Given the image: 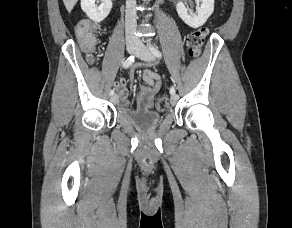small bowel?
I'll use <instances>...</instances> for the list:
<instances>
[{
  "label": "small bowel",
  "instance_id": "small-bowel-1",
  "mask_svg": "<svg viewBox=\"0 0 292 228\" xmlns=\"http://www.w3.org/2000/svg\"><path fill=\"white\" fill-rule=\"evenodd\" d=\"M134 70H130L128 78H121L115 82V88L119 97V104L123 108H131L128 100V83L133 79ZM145 85L140 86L136 93V107L145 110L152 109V101L161 87L160 76L153 70H145L142 74Z\"/></svg>",
  "mask_w": 292,
  "mask_h": 228
}]
</instances>
